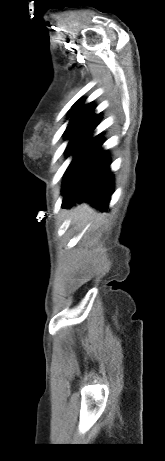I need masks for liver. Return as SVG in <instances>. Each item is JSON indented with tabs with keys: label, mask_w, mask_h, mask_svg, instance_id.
Masks as SVG:
<instances>
[{
	"label": "liver",
	"mask_w": 165,
	"mask_h": 461,
	"mask_svg": "<svg viewBox=\"0 0 165 461\" xmlns=\"http://www.w3.org/2000/svg\"><path fill=\"white\" fill-rule=\"evenodd\" d=\"M70 218L74 224H78L80 227H83L90 222H98L100 216L97 214L95 209L90 207L88 204L83 203L72 208Z\"/></svg>",
	"instance_id": "obj_1"
}]
</instances>
